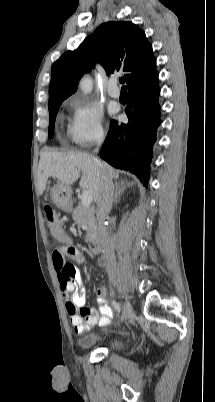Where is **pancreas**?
Instances as JSON below:
<instances>
[{
    "instance_id": "1",
    "label": "pancreas",
    "mask_w": 215,
    "mask_h": 402,
    "mask_svg": "<svg viewBox=\"0 0 215 402\" xmlns=\"http://www.w3.org/2000/svg\"><path fill=\"white\" fill-rule=\"evenodd\" d=\"M72 217L76 224L86 230L85 241L89 242L94 240L97 235V223L93 210L79 205L74 208Z\"/></svg>"
}]
</instances>
